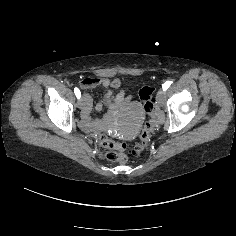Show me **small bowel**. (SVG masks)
Listing matches in <instances>:
<instances>
[{
    "mask_svg": "<svg viewBox=\"0 0 236 236\" xmlns=\"http://www.w3.org/2000/svg\"><path fill=\"white\" fill-rule=\"evenodd\" d=\"M119 84H120V82L118 80H113L111 82H108L107 80L100 79L99 82H97V83L90 84V85H87V86H82V87L89 88V87H94V86H97V85H105V86L110 85L111 87H118ZM87 99H89L91 101V105H92L91 98L89 96H85V98H84L85 106H86ZM85 106H84L83 116H87L88 117L90 109L85 110ZM97 109H101V107L98 104H97Z\"/></svg>",
    "mask_w": 236,
    "mask_h": 236,
    "instance_id": "c3829d8e",
    "label": "small bowel"
}]
</instances>
